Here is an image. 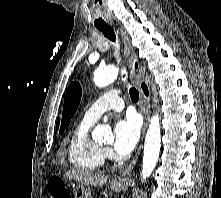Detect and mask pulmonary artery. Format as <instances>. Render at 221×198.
Listing matches in <instances>:
<instances>
[{
    "instance_id": "1",
    "label": "pulmonary artery",
    "mask_w": 221,
    "mask_h": 198,
    "mask_svg": "<svg viewBox=\"0 0 221 198\" xmlns=\"http://www.w3.org/2000/svg\"><path fill=\"white\" fill-rule=\"evenodd\" d=\"M124 102L119 90H111L98 98L85 112L83 120L86 122H96L104 112L108 110L121 111Z\"/></svg>"
}]
</instances>
